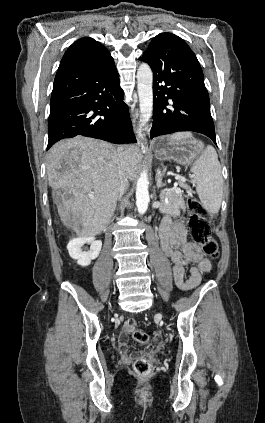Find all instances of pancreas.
<instances>
[{"label":"pancreas","mask_w":265,"mask_h":423,"mask_svg":"<svg viewBox=\"0 0 265 423\" xmlns=\"http://www.w3.org/2000/svg\"><path fill=\"white\" fill-rule=\"evenodd\" d=\"M181 186L187 188V185L181 183ZM185 206L184 196L182 192L176 190H168L164 195V199L161 202L160 212L168 214L173 217L180 215V209Z\"/></svg>","instance_id":"cf45deb5"}]
</instances>
